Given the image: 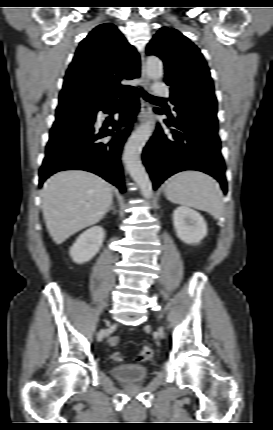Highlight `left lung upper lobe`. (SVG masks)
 <instances>
[{
	"instance_id": "5c2ea615",
	"label": "left lung upper lobe",
	"mask_w": 273,
	"mask_h": 430,
	"mask_svg": "<svg viewBox=\"0 0 273 430\" xmlns=\"http://www.w3.org/2000/svg\"><path fill=\"white\" fill-rule=\"evenodd\" d=\"M146 53L160 57L174 110L188 118L217 119V99L209 68L200 50L176 29L161 28Z\"/></svg>"
}]
</instances>
